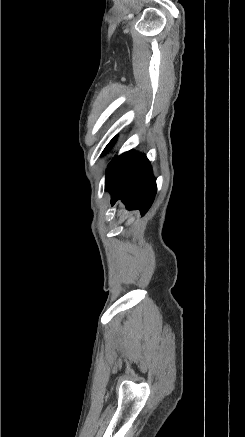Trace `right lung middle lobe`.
<instances>
[{
  "label": "right lung middle lobe",
  "mask_w": 245,
  "mask_h": 437,
  "mask_svg": "<svg viewBox=\"0 0 245 437\" xmlns=\"http://www.w3.org/2000/svg\"><path fill=\"white\" fill-rule=\"evenodd\" d=\"M114 141H115V138H113V139L110 141V143H109V144L106 146V148L104 149V152H103V153L107 152V151L111 148V146L113 145Z\"/></svg>",
  "instance_id": "obj_1"
}]
</instances>
